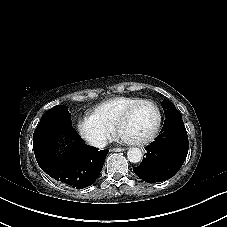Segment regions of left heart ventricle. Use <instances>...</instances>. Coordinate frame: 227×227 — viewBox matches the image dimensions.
Instances as JSON below:
<instances>
[{
  "label": "left heart ventricle",
  "mask_w": 227,
  "mask_h": 227,
  "mask_svg": "<svg viewBox=\"0 0 227 227\" xmlns=\"http://www.w3.org/2000/svg\"><path fill=\"white\" fill-rule=\"evenodd\" d=\"M156 121V114L151 106H142L130 117L124 132L137 138L146 137L151 133Z\"/></svg>",
  "instance_id": "left-heart-ventricle-1"
}]
</instances>
